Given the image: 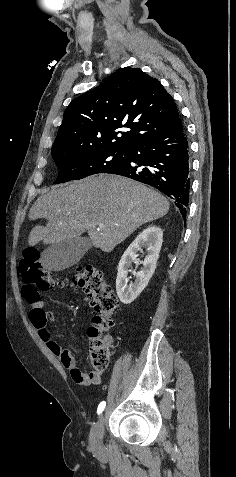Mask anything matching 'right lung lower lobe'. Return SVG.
I'll return each instance as SVG.
<instances>
[{
  "mask_svg": "<svg viewBox=\"0 0 236 477\" xmlns=\"http://www.w3.org/2000/svg\"><path fill=\"white\" fill-rule=\"evenodd\" d=\"M125 153L126 162L108 173L155 187L175 201L185 218L190 190V153L180 118L168 130L133 143Z\"/></svg>",
  "mask_w": 236,
  "mask_h": 477,
  "instance_id": "1",
  "label": "right lung lower lobe"
}]
</instances>
